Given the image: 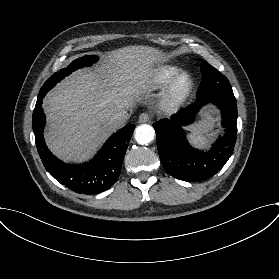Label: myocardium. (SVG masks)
Listing matches in <instances>:
<instances>
[{"instance_id": "1", "label": "myocardium", "mask_w": 279, "mask_h": 279, "mask_svg": "<svg viewBox=\"0 0 279 279\" xmlns=\"http://www.w3.org/2000/svg\"><path fill=\"white\" fill-rule=\"evenodd\" d=\"M182 82H184L183 86H181ZM192 90V78L186 73L178 74L165 88L162 100L163 108L167 111L176 110L183 105Z\"/></svg>"}]
</instances>
